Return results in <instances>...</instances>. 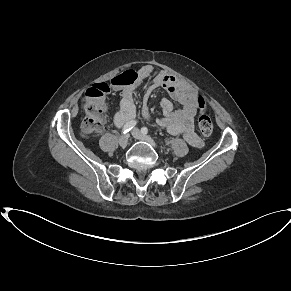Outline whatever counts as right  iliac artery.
<instances>
[{"instance_id":"82829eb1","label":"right iliac artery","mask_w":291,"mask_h":291,"mask_svg":"<svg viewBox=\"0 0 291 291\" xmlns=\"http://www.w3.org/2000/svg\"><path fill=\"white\" fill-rule=\"evenodd\" d=\"M136 124H137V122L134 120L127 122L122 128L121 134L128 133L130 130H132L136 126Z\"/></svg>"}]
</instances>
